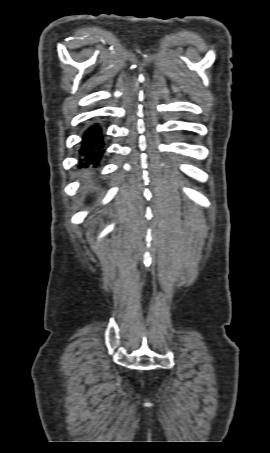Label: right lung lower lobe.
I'll use <instances>...</instances> for the list:
<instances>
[{
  "label": "right lung lower lobe",
  "instance_id": "obj_1",
  "mask_svg": "<svg viewBox=\"0 0 270 453\" xmlns=\"http://www.w3.org/2000/svg\"><path fill=\"white\" fill-rule=\"evenodd\" d=\"M79 154L87 163H98L104 153L102 128L99 124L91 125L83 134Z\"/></svg>",
  "mask_w": 270,
  "mask_h": 453
}]
</instances>
